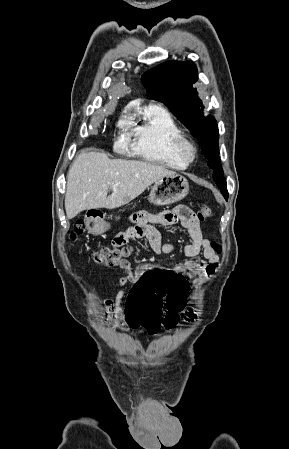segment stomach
<instances>
[{"label": "stomach", "instance_id": "stomach-1", "mask_svg": "<svg viewBox=\"0 0 289 449\" xmlns=\"http://www.w3.org/2000/svg\"><path fill=\"white\" fill-rule=\"evenodd\" d=\"M188 192L189 183L184 176L170 175L154 183L151 187L149 201L158 206L173 204L186 197ZM86 228L89 233L97 235L106 232L110 225L103 218L90 217L87 219Z\"/></svg>", "mask_w": 289, "mask_h": 449}]
</instances>
